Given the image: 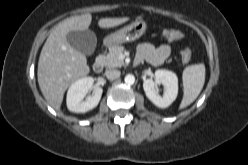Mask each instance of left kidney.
Listing matches in <instances>:
<instances>
[{
  "label": "left kidney",
  "mask_w": 248,
  "mask_h": 165,
  "mask_svg": "<svg viewBox=\"0 0 248 165\" xmlns=\"http://www.w3.org/2000/svg\"><path fill=\"white\" fill-rule=\"evenodd\" d=\"M158 84L165 88L163 96L156 89ZM143 89L147 98L159 108H167L176 99L178 94V78L175 73L168 70L155 71V78L143 82Z\"/></svg>",
  "instance_id": "5707ae66"
}]
</instances>
